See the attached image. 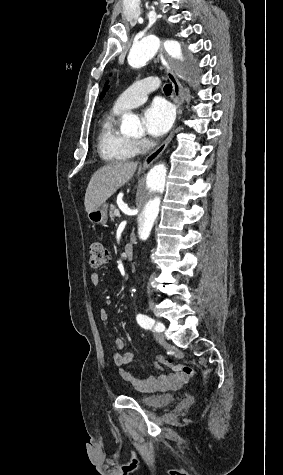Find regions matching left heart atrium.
I'll use <instances>...</instances> for the list:
<instances>
[{
    "instance_id": "1",
    "label": "left heart atrium",
    "mask_w": 283,
    "mask_h": 475,
    "mask_svg": "<svg viewBox=\"0 0 283 475\" xmlns=\"http://www.w3.org/2000/svg\"><path fill=\"white\" fill-rule=\"evenodd\" d=\"M175 121V109L165 100H155L144 111L143 123L146 132L152 137L165 135Z\"/></svg>"
}]
</instances>
